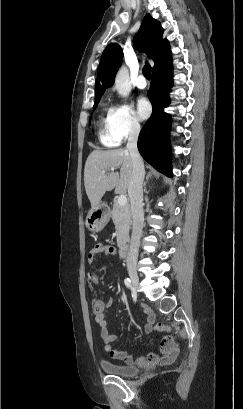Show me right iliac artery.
Instances as JSON below:
<instances>
[{
	"mask_svg": "<svg viewBox=\"0 0 243 409\" xmlns=\"http://www.w3.org/2000/svg\"><path fill=\"white\" fill-rule=\"evenodd\" d=\"M125 285L127 286V288H132V283L131 280L129 278H125L124 280Z\"/></svg>",
	"mask_w": 243,
	"mask_h": 409,
	"instance_id": "right-iliac-artery-1",
	"label": "right iliac artery"
}]
</instances>
